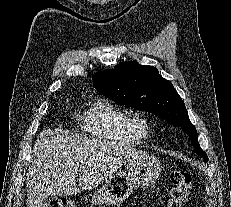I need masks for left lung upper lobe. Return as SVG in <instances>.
<instances>
[{"mask_svg": "<svg viewBox=\"0 0 231 207\" xmlns=\"http://www.w3.org/2000/svg\"><path fill=\"white\" fill-rule=\"evenodd\" d=\"M94 87L114 102L151 112L182 128L189 135L195 151L208 161L200 148L196 128L191 124L185 104L170 81L162 78L153 66L136 61L122 62L114 69L93 76Z\"/></svg>", "mask_w": 231, "mask_h": 207, "instance_id": "obj_1", "label": "left lung upper lobe"}]
</instances>
